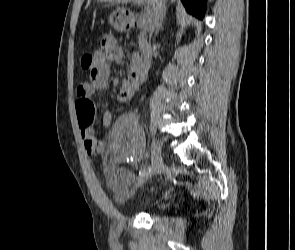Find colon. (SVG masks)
I'll list each match as a JSON object with an SVG mask.
<instances>
[{
  "label": "colon",
  "mask_w": 295,
  "mask_h": 250,
  "mask_svg": "<svg viewBox=\"0 0 295 250\" xmlns=\"http://www.w3.org/2000/svg\"><path fill=\"white\" fill-rule=\"evenodd\" d=\"M81 66L85 70H93L95 59L93 54L86 53L81 57ZM76 112L79 125L82 129L89 128L95 119V106L89 98L79 99L76 103Z\"/></svg>",
  "instance_id": "colon-1"
}]
</instances>
